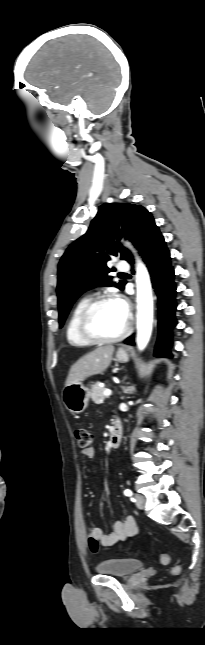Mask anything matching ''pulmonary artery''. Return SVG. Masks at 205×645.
Returning <instances> with one entry per match:
<instances>
[{"label":"pulmonary artery","mask_w":205,"mask_h":645,"mask_svg":"<svg viewBox=\"0 0 205 645\" xmlns=\"http://www.w3.org/2000/svg\"><path fill=\"white\" fill-rule=\"evenodd\" d=\"M128 269H129V265H128V263H127V262H125V261H120V262L117 264V270H118V271H120V272H125V271H127Z\"/></svg>","instance_id":"1"}]
</instances>
